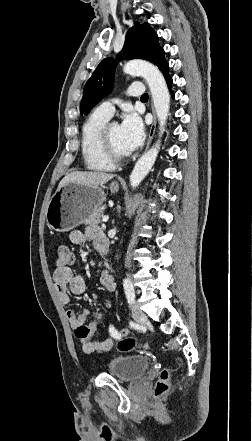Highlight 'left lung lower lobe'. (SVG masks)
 Instances as JSON below:
<instances>
[{"label": "left lung lower lobe", "mask_w": 252, "mask_h": 441, "mask_svg": "<svg viewBox=\"0 0 252 441\" xmlns=\"http://www.w3.org/2000/svg\"><path fill=\"white\" fill-rule=\"evenodd\" d=\"M158 66V68L160 69V71L163 73L166 83L169 87V89H171V85H172V78L169 76L168 74V68L169 65L167 63V61L164 58V52L160 55L158 62L156 64ZM172 97H174V94L171 92Z\"/></svg>", "instance_id": "1"}]
</instances>
